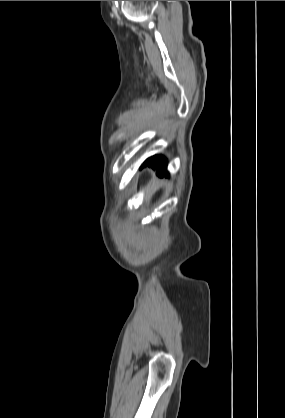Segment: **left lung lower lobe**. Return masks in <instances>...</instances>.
I'll use <instances>...</instances> for the list:
<instances>
[{
  "instance_id": "left-lung-lower-lobe-1",
  "label": "left lung lower lobe",
  "mask_w": 285,
  "mask_h": 418,
  "mask_svg": "<svg viewBox=\"0 0 285 418\" xmlns=\"http://www.w3.org/2000/svg\"><path fill=\"white\" fill-rule=\"evenodd\" d=\"M150 165L153 168H156L157 174L159 176L166 175L168 176V172L166 171L167 168V161L162 156H153L148 158L144 163L143 166Z\"/></svg>"
}]
</instances>
